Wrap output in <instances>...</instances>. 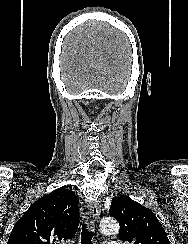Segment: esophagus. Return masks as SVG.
Listing matches in <instances>:
<instances>
[{
  "label": "esophagus",
  "mask_w": 188,
  "mask_h": 244,
  "mask_svg": "<svg viewBox=\"0 0 188 244\" xmlns=\"http://www.w3.org/2000/svg\"><path fill=\"white\" fill-rule=\"evenodd\" d=\"M88 209H89V214H90V218L91 220H97L100 212H101V205L99 201H92L89 202L88 204Z\"/></svg>",
  "instance_id": "34e87169"
}]
</instances>
